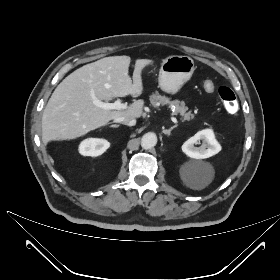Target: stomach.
Returning <instances> with one entry per match:
<instances>
[{
  "mask_svg": "<svg viewBox=\"0 0 280 280\" xmlns=\"http://www.w3.org/2000/svg\"><path fill=\"white\" fill-rule=\"evenodd\" d=\"M195 70L194 61L189 56L173 55L161 63L158 84L168 94H176L190 80Z\"/></svg>",
  "mask_w": 280,
  "mask_h": 280,
  "instance_id": "stomach-1",
  "label": "stomach"
}]
</instances>
